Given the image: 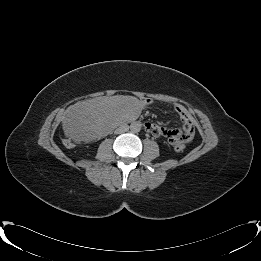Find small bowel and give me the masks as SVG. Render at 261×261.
<instances>
[{
	"mask_svg": "<svg viewBox=\"0 0 261 261\" xmlns=\"http://www.w3.org/2000/svg\"><path fill=\"white\" fill-rule=\"evenodd\" d=\"M175 112L182 122V129H167L155 123H145V128L156 136H180L182 135L185 142H189L194 136V125L187 112L180 106L174 107Z\"/></svg>",
	"mask_w": 261,
	"mask_h": 261,
	"instance_id": "small-bowel-1",
	"label": "small bowel"
}]
</instances>
